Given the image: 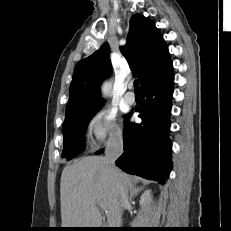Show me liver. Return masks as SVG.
Returning a JSON list of instances; mask_svg holds the SVG:
<instances>
[{"label": "liver", "mask_w": 231, "mask_h": 231, "mask_svg": "<svg viewBox=\"0 0 231 231\" xmlns=\"http://www.w3.org/2000/svg\"><path fill=\"white\" fill-rule=\"evenodd\" d=\"M131 187V177L115 167L110 171L101 156L66 166L60 182L62 228H100L99 203L107 212L108 226H121L120 195Z\"/></svg>", "instance_id": "1"}]
</instances>
